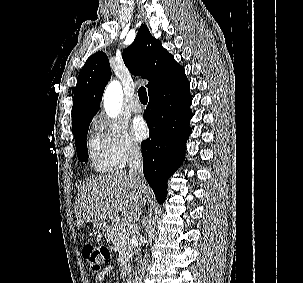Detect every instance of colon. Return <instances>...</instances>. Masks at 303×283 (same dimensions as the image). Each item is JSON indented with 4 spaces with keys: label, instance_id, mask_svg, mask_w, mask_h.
Segmentation results:
<instances>
[{
    "label": "colon",
    "instance_id": "colon-1",
    "mask_svg": "<svg viewBox=\"0 0 303 283\" xmlns=\"http://www.w3.org/2000/svg\"><path fill=\"white\" fill-rule=\"evenodd\" d=\"M82 255L92 272H100L110 259V249L98 243L84 245Z\"/></svg>",
    "mask_w": 303,
    "mask_h": 283
}]
</instances>
